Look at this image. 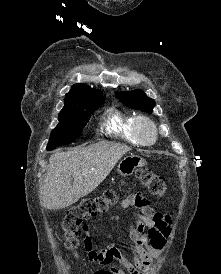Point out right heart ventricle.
<instances>
[{"label":"right heart ventricle","instance_id":"1","mask_svg":"<svg viewBox=\"0 0 221 274\" xmlns=\"http://www.w3.org/2000/svg\"><path fill=\"white\" fill-rule=\"evenodd\" d=\"M136 116L119 109L110 108L103 119V128L106 134L118 137L134 145H140V141L134 132Z\"/></svg>","mask_w":221,"mask_h":274}]
</instances>
